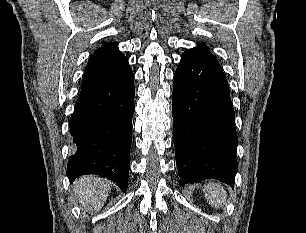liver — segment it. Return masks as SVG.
Here are the masks:
<instances>
[{"instance_id":"6515ba94","label":"liver","mask_w":306,"mask_h":233,"mask_svg":"<svg viewBox=\"0 0 306 233\" xmlns=\"http://www.w3.org/2000/svg\"><path fill=\"white\" fill-rule=\"evenodd\" d=\"M110 191V182L98 176H83L73 184L74 197L91 215L101 210Z\"/></svg>"}]
</instances>
